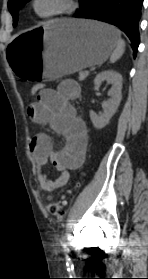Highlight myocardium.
Masks as SVG:
<instances>
[{"label": "myocardium", "instance_id": "1", "mask_svg": "<svg viewBox=\"0 0 148 279\" xmlns=\"http://www.w3.org/2000/svg\"><path fill=\"white\" fill-rule=\"evenodd\" d=\"M62 2H63V5L58 7L57 9H54L47 13H41L37 9L38 0H32L31 9L37 17L44 19V20H49V19L61 18V17L68 15V14L72 13L77 6L76 0H62Z\"/></svg>", "mask_w": 148, "mask_h": 279}]
</instances>
